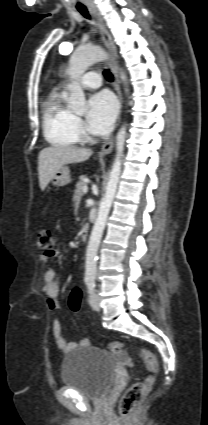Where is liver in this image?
Listing matches in <instances>:
<instances>
[{"mask_svg": "<svg viewBox=\"0 0 208 425\" xmlns=\"http://www.w3.org/2000/svg\"><path fill=\"white\" fill-rule=\"evenodd\" d=\"M92 151L72 146H51L40 151L38 156L39 184L45 190L53 175L66 164L81 163L90 158Z\"/></svg>", "mask_w": 208, "mask_h": 425, "instance_id": "obj_1", "label": "liver"}]
</instances>
